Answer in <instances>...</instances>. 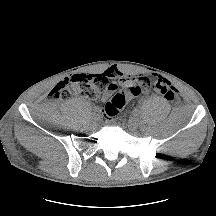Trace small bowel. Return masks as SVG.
I'll return each instance as SVG.
<instances>
[{
  "instance_id": "c3829d8e",
  "label": "small bowel",
  "mask_w": 216,
  "mask_h": 216,
  "mask_svg": "<svg viewBox=\"0 0 216 216\" xmlns=\"http://www.w3.org/2000/svg\"><path fill=\"white\" fill-rule=\"evenodd\" d=\"M101 75L106 76L110 80L107 90L102 94V101L108 100L118 90L119 86H132L138 84L143 78L130 76L116 67L106 69ZM139 94L140 92L131 98L137 97Z\"/></svg>"
}]
</instances>
